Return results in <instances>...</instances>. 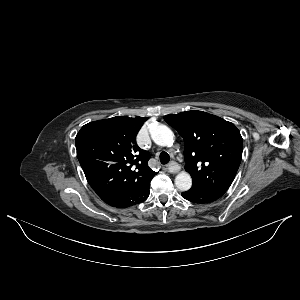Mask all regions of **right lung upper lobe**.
I'll return each mask as SVG.
<instances>
[{
  "instance_id": "1",
  "label": "right lung upper lobe",
  "mask_w": 300,
  "mask_h": 300,
  "mask_svg": "<svg viewBox=\"0 0 300 300\" xmlns=\"http://www.w3.org/2000/svg\"><path fill=\"white\" fill-rule=\"evenodd\" d=\"M147 119L117 116L90 122L78 132L77 157L100 198L142 188L157 174L148 166L150 154L140 149L135 140Z\"/></svg>"
}]
</instances>
